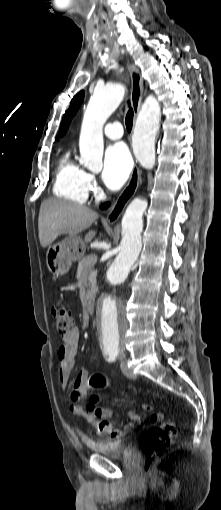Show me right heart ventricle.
<instances>
[{
    "instance_id": "1",
    "label": "right heart ventricle",
    "mask_w": 221,
    "mask_h": 510,
    "mask_svg": "<svg viewBox=\"0 0 221 510\" xmlns=\"http://www.w3.org/2000/svg\"><path fill=\"white\" fill-rule=\"evenodd\" d=\"M88 173L65 152L58 163L53 183V193L60 198L83 204L88 197Z\"/></svg>"
}]
</instances>
